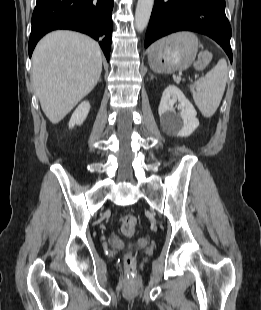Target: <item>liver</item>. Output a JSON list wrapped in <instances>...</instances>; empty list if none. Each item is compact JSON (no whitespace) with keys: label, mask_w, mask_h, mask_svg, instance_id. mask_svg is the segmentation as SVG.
<instances>
[{"label":"liver","mask_w":261,"mask_h":310,"mask_svg":"<svg viewBox=\"0 0 261 310\" xmlns=\"http://www.w3.org/2000/svg\"><path fill=\"white\" fill-rule=\"evenodd\" d=\"M101 49L87 35L54 31L37 44L32 57L35 93L47 118L60 122L96 86Z\"/></svg>","instance_id":"liver-1"}]
</instances>
